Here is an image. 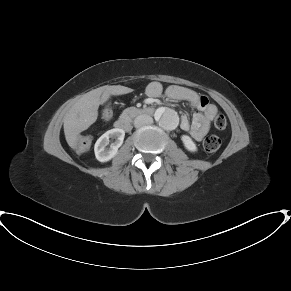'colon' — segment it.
Returning <instances> with one entry per match:
<instances>
[{"mask_svg":"<svg viewBox=\"0 0 291 291\" xmlns=\"http://www.w3.org/2000/svg\"><path fill=\"white\" fill-rule=\"evenodd\" d=\"M112 117V109L110 104L104 105L100 110V119L104 122L110 120ZM214 125L217 129L222 130L227 125V120L223 114H217L214 119ZM204 148L207 152H215L220 148L221 140L215 135H208L203 142ZM88 147L86 142H81L78 145L80 153L87 152Z\"/></svg>","mask_w":291,"mask_h":291,"instance_id":"1","label":"colon"}]
</instances>
